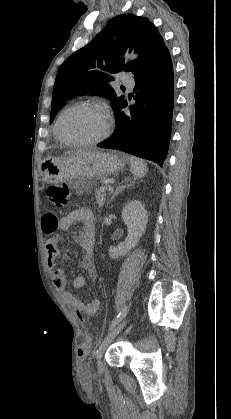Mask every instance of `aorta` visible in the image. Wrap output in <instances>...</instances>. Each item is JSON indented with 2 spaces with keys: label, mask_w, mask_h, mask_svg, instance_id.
Listing matches in <instances>:
<instances>
[{
  "label": "aorta",
  "mask_w": 231,
  "mask_h": 419,
  "mask_svg": "<svg viewBox=\"0 0 231 419\" xmlns=\"http://www.w3.org/2000/svg\"><path fill=\"white\" fill-rule=\"evenodd\" d=\"M125 58H130V59H135V58H137V55L136 54H133V53H131V54H126L125 55Z\"/></svg>",
  "instance_id": "obj_1"
}]
</instances>
